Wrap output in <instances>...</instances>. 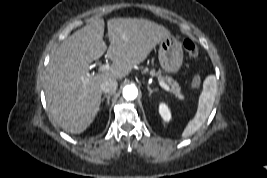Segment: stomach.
<instances>
[{"label":"stomach","mask_w":267,"mask_h":178,"mask_svg":"<svg viewBox=\"0 0 267 178\" xmlns=\"http://www.w3.org/2000/svg\"><path fill=\"white\" fill-rule=\"evenodd\" d=\"M158 58L161 68L170 74L177 73L183 63V49L179 40L173 36L159 43Z\"/></svg>","instance_id":"1"}]
</instances>
